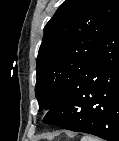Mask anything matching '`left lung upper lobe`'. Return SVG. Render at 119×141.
Returning <instances> with one entry per match:
<instances>
[{"mask_svg":"<svg viewBox=\"0 0 119 141\" xmlns=\"http://www.w3.org/2000/svg\"><path fill=\"white\" fill-rule=\"evenodd\" d=\"M119 0H66L44 28L36 66L39 111L50 110L94 58Z\"/></svg>","mask_w":119,"mask_h":141,"instance_id":"1","label":"left lung upper lobe"}]
</instances>
